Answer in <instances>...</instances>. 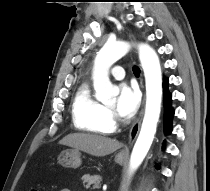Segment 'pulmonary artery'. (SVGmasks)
Masks as SVG:
<instances>
[{"instance_id":"e3ab8cb5","label":"pulmonary artery","mask_w":210,"mask_h":191,"mask_svg":"<svg viewBox=\"0 0 210 191\" xmlns=\"http://www.w3.org/2000/svg\"><path fill=\"white\" fill-rule=\"evenodd\" d=\"M111 75L117 80H121L125 77V71L121 66H116L111 70Z\"/></svg>"}]
</instances>
